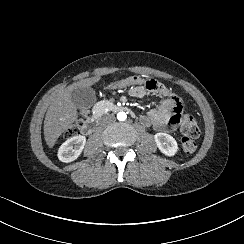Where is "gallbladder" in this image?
<instances>
[{
    "label": "gallbladder",
    "mask_w": 244,
    "mask_h": 244,
    "mask_svg": "<svg viewBox=\"0 0 244 244\" xmlns=\"http://www.w3.org/2000/svg\"><path fill=\"white\" fill-rule=\"evenodd\" d=\"M71 100L77 108H89L96 101L95 91L90 88H76L71 94Z\"/></svg>",
    "instance_id": "obj_1"
}]
</instances>
